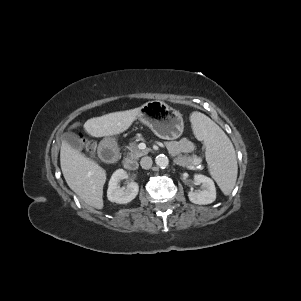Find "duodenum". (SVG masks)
<instances>
[{
  "mask_svg": "<svg viewBox=\"0 0 301 301\" xmlns=\"http://www.w3.org/2000/svg\"><path fill=\"white\" fill-rule=\"evenodd\" d=\"M96 154L100 162L114 167L120 164L123 151L112 141L106 139L100 142ZM124 167L132 171L137 168V163L132 159H126L124 161Z\"/></svg>",
  "mask_w": 301,
  "mask_h": 301,
  "instance_id": "duodenum-1",
  "label": "duodenum"
}]
</instances>
